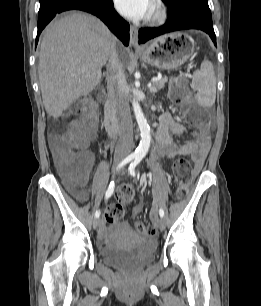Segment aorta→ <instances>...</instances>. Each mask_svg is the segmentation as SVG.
<instances>
[{
	"instance_id": "762f6f07",
	"label": "aorta",
	"mask_w": 261,
	"mask_h": 306,
	"mask_svg": "<svg viewBox=\"0 0 261 306\" xmlns=\"http://www.w3.org/2000/svg\"><path fill=\"white\" fill-rule=\"evenodd\" d=\"M132 106L138 127L140 129V136H141L140 144L136 149L135 154L137 156L143 157L146 155L150 147V141H151L150 127L147 123L146 118L144 117V114L142 112L139 103L135 99L132 102Z\"/></svg>"
}]
</instances>
